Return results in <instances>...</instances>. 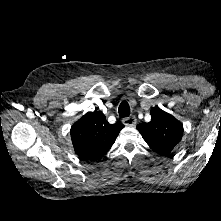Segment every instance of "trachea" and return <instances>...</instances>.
I'll return each instance as SVG.
<instances>
[{"instance_id":"obj_1","label":"trachea","mask_w":221,"mask_h":221,"mask_svg":"<svg viewBox=\"0 0 221 221\" xmlns=\"http://www.w3.org/2000/svg\"><path fill=\"white\" fill-rule=\"evenodd\" d=\"M118 113L121 118L128 117L130 115V106L128 102L126 101L121 102L118 108Z\"/></svg>"}]
</instances>
